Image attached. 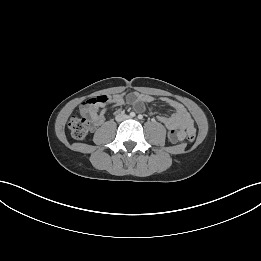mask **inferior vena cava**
<instances>
[{"instance_id": "1", "label": "inferior vena cava", "mask_w": 261, "mask_h": 261, "mask_svg": "<svg viewBox=\"0 0 261 261\" xmlns=\"http://www.w3.org/2000/svg\"><path fill=\"white\" fill-rule=\"evenodd\" d=\"M127 118H128L127 115H125V114H120V115H117L115 119H116L117 122H120V121H123V120H125V119H127Z\"/></svg>"}]
</instances>
